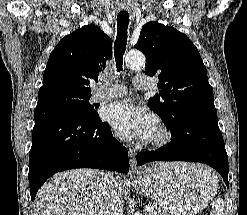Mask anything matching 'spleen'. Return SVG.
<instances>
[{
	"label": "spleen",
	"mask_w": 247,
	"mask_h": 215,
	"mask_svg": "<svg viewBox=\"0 0 247 215\" xmlns=\"http://www.w3.org/2000/svg\"><path fill=\"white\" fill-rule=\"evenodd\" d=\"M224 204L221 199L216 200L212 205L211 215H223Z\"/></svg>",
	"instance_id": "obj_1"
}]
</instances>
